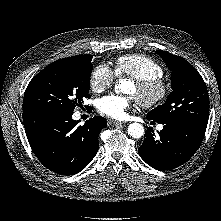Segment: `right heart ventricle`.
Returning a JSON list of instances; mask_svg holds the SVG:
<instances>
[{
	"label": "right heart ventricle",
	"mask_w": 221,
	"mask_h": 221,
	"mask_svg": "<svg viewBox=\"0 0 221 221\" xmlns=\"http://www.w3.org/2000/svg\"><path fill=\"white\" fill-rule=\"evenodd\" d=\"M115 74L130 76L136 80L161 78L162 66L154 59L143 54H128L118 57L114 63Z\"/></svg>",
	"instance_id": "right-heart-ventricle-1"
}]
</instances>
